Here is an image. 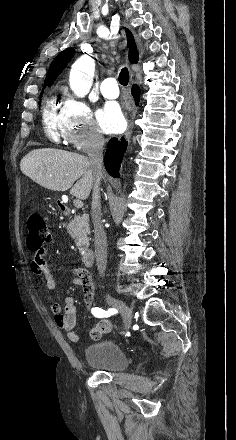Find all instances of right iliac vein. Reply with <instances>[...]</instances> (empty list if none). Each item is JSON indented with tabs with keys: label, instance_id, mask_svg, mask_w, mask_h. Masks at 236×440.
<instances>
[{
	"label": "right iliac vein",
	"instance_id": "right-iliac-vein-1",
	"mask_svg": "<svg viewBox=\"0 0 236 440\" xmlns=\"http://www.w3.org/2000/svg\"><path fill=\"white\" fill-rule=\"evenodd\" d=\"M105 300L108 305L113 306L114 308L118 309L121 313L123 320H124V327L125 330H128L130 328L131 322H132V311L129 308V306L124 303L121 300L115 299L109 294L105 295Z\"/></svg>",
	"mask_w": 236,
	"mask_h": 440
}]
</instances>
